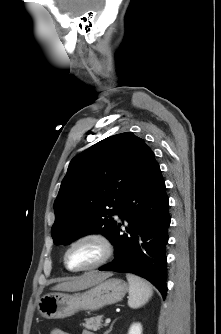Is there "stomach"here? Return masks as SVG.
<instances>
[{
  "label": "stomach",
  "mask_w": 221,
  "mask_h": 334,
  "mask_svg": "<svg viewBox=\"0 0 221 334\" xmlns=\"http://www.w3.org/2000/svg\"><path fill=\"white\" fill-rule=\"evenodd\" d=\"M128 291L125 281L107 277L82 293H48L39 299L38 311L47 319H60L80 310L95 311L123 299Z\"/></svg>",
  "instance_id": "0dacf381"
}]
</instances>
